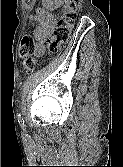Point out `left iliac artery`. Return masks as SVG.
<instances>
[{"label":"left iliac artery","instance_id":"1","mask_svg":"<svg viewBox=\"0 0 123 167\" xmlns=\"http://www.w3.org/2000/svg\"><path fill=\"white\" fill-rule=\"evenodd\" d=\"M16 117H17L18 123H19L22 127H24V120H23L21 114H20V113H17Z\"/></svg>","mask_w":123,"mask_h":167}]
</instances>
